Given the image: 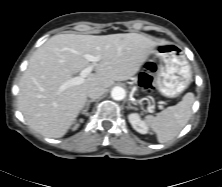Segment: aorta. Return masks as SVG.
Returning a JSON list of instances; mask_svg holds the SVG:
<instances>
[{
	"mask_svg": "<svg viewBox=\"0 0 222 187\" xmlns=\"http://www.w3.org/2000/svg\"><path fill=\"white\" fill-rule=\"evenodd\" d=\"M126 96V91L124 88L116 86L111 90V97L114 100L120 101L123 100Z\"/></svg>",
	"mask_w": 222,
	"mask_h": 187,
	"instance_id": "obj_1",
	"label": "aorta"
}]
</instances>
